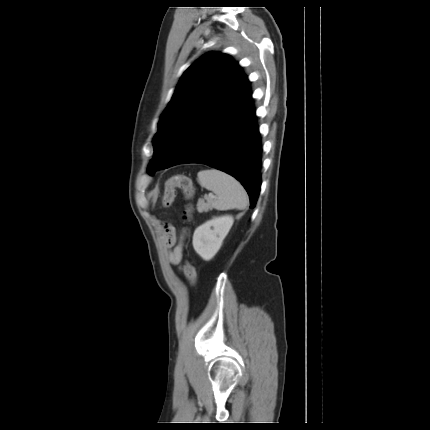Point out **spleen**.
<instances>
[{"label":"spleen","instance_id":"spleen-1","mask_svg":"<svg viewBox=\"0 0 430 430\" xmlns=\"http://www.w3.org/2000/svg\"><path fill=\"white\" fill-rule=\"evenodd\" d=\"M201 186L216 194L212 207L217 210L240 209L248 206V196L243 186L231 175L216 169L201 170L197 174Z\"/></svg>","mask_w":430,"mask_h":430}]
</instances>
